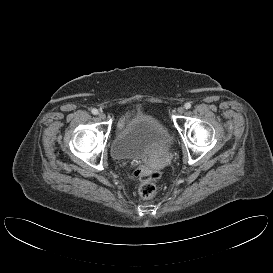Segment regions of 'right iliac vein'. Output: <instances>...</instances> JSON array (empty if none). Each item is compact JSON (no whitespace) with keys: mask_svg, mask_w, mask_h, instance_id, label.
<instances>
[{"mask_svg":"<svg viewBox=\"0 0 273 273\" xmlns=\"http://www.w3.org/2000/svg\"><path fill=\"white\" fill-rule=\"evenodd\" d=\"M98 116H99V118L102 119V120H104V119L106 118V115H105L103 112H100V113L98 114Z\"/></svg>","mask_w":273,"mask_h":273,"instance_id":"1","label":"right iliac vein"}]
</instances>
